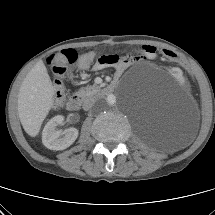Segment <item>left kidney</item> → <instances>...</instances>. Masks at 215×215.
Here are the masks:
<instances>
[{
	"label": "left kidney",
	"instance_id": "obj_1",
	"mask_svg": "<svg viewBox=\"0 0 215 215\" xmlns=\"http://www.w3.org/2000/svg\"><path fill=\"white\" fill-rule=\"evenodd\" d=\"M171 72L173 73L174 77L177 78V82L179 85L184 86L187 84V75L183 72L182 69L173 67L171 69Z\"/></svg>",
	"mask_w": 215,
	"mask_h": 215
}]
</instances>
